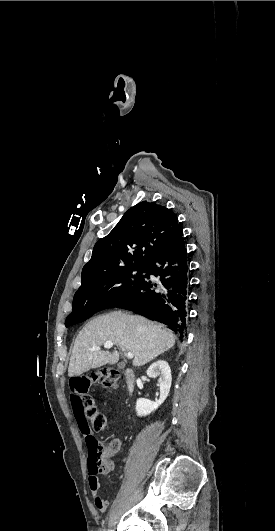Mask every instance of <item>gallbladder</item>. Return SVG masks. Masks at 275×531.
<instances>
[{
	"label": "gallbladder",
	"instance_id": "obj_1",
	"mask_svg": "<svg viewBox=\"0 0 275 531\" xmlns=\"http://www.w3.org/2000/svg\"><path fill=\"white\" fill-rule=\"evenodd\" d=\"M124 367H125V363H119L118 369H124Z\"/></svg>",
	"mask_w": 275,
	"mask_h": 531
}]
</instances>
